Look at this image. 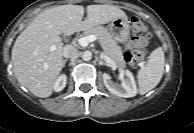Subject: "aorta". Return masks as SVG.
Returning <instances> with one entry per match:
<instances>
[{"label": "aorta", "instance_id": "762f6f07", "mask_svg": "<svg viewBox=\"0 0 194 133\" xmlns=\"http://www.w3.org/2000/svg\"><path fill=\"white\" fill-rule=\"evenodd\" d=\"M91 58H92V53L90 51L83 52L82 59L84 61H89V60H91Z\"/></svg>", "mask_w": 194, "mask_h": 133}]
</instances>
